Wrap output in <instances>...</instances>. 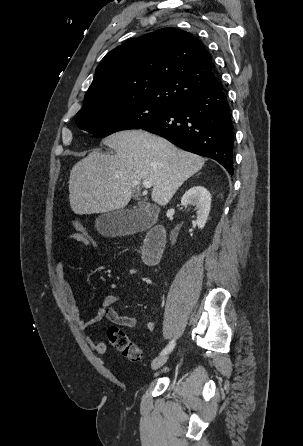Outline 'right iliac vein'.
<instances>
[{"label": "right iliac vein", "mask_w": 303, "mask_h": 446, "mask_svg": "<svg viewBox=\"0 0 303 446\" xmlns=\"http://www.w3.org/2000/svg\"><path fill=\"white\" fill-rule=\"evenodd\" d=\"M167 359H168L167 355H161L156 357L151 363V368L153 370L159 369L167 362Z\"/></svg>", "instance_id": "obj_1"}]
</instances>
